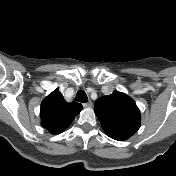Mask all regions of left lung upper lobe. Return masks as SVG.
<instances>
[{"label": "left lung upper lobe", "instance_id": "obj_1", "mask_svg": "<svg viewBox=\"0 0 176 176\" xmlns=\"http://www.w3.org/2000/svg\"><path fill=\"white\" fill-rule=\"evenodd\" d=\"M94 112L112 139L126 140L140 128V111L135 102L122 92L114 91L97 99Z\"/></svg>", "mask_w": 176, "mask_h": 176}]
</instances>
